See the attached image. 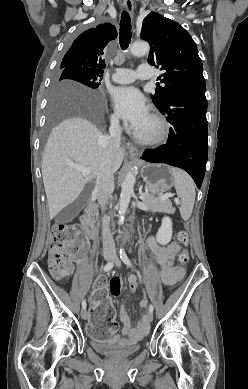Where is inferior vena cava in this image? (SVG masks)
<instances>
[{
    "label": "inferior vena cava",
    "mask_w": 248,
    "mask_h": 389,
    "mask_svg": "<svg viewBox=\"0 0 248 389\" xmlns=\"http://www.w3.org/2000/svg\"><path fill=\"white\" fill-rule=\"evenodd\" d=\"M109 133L110 135L106 137L103 142L104 152L102 163L97 173L96 185L94 189V194L96 195L102 209L105 208L108 198L114 190L112 163L115 155L120 149L122 133L118 118L113 117L111 119ZM109 222L110 219L104 216L102 220L103 250L105 252H112L115 254V243L110 231Z\"/></svg>",
    "instance_id": "1"
}]
</instances>
